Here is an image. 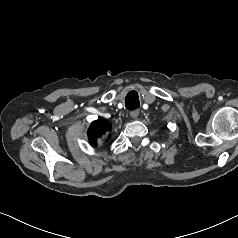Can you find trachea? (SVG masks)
<instances>
[{
	"instance_id": "3493384b",
	"label": "trachea",
	"mask_w": 238,
	"mask_h": 238,
	"mask_svg": "<svg viewBox=\"0 0 238 238\" xmlns=\"http://www.w3.org/2000/svg\"><path fill=\"white\" fill-rule=\"evenodd\" d=\"M125 106L129 110H134L140 106L138 93L130 91L125 97Z\"/></svg>"
}]
</instances>
